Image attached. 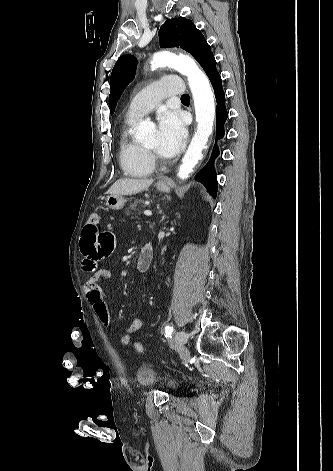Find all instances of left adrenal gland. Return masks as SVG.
<instances>
[{"mask_svg": "<svg viewBox=\"0 0 333 471\" xmlns=\"http://www.w3.org/2000/svg\"><path fill=\"white\" fill-rule=\"evenodd\" d=\"M160 212H162V211H160ZM164 218H165V215L162 216L160 222H162L164 220Z\"/></svg>", "mask_w": 333, "mask_h": 471, "instance_id": "1", "label": "left adrenal gland"}]
</instances>
